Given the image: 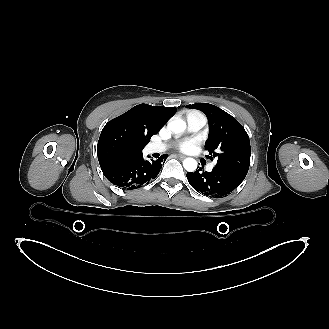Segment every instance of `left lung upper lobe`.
Segmentation results:
<instances>
[{
  "label": "left lung upper lobe",
  "instance_id": "obj_1",
  "mask_svg": "<svg viewBox=\"0 0 329 329\" xmlns=\"http://www.w3.org/2000/svg\"><path fill=\"white\" fill-rule=\"evenodd\" d=\"M205 113L209 122V136L205 150L216 158L215 168L228 171L242 179L250 166L249 136L239 122L227 112L208 103L187 105Z\"/></svg>",
  "mask_w": 329,
  "mask_h": 329
}]
</instances>
